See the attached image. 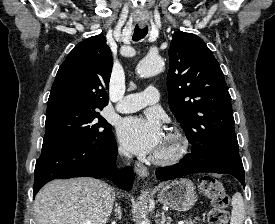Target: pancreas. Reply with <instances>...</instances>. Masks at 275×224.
Returning <instances> with one entry per match:
<instances>
[{
  "label": "pancreas",
  "instance_id": "pancreas-1",
  "mask_svg": "<svg viewBox=\"0 0 275 224\" xmlns=\"http://www.w3.org/2000/svg\"><path fill=\"white\" fill-rule=\"evenodd\" d=\"M200 219L198 217L194 218V219H191V218H188V219H185V224H197V221H199Z\"/></svg>",
  "mask_w": 275,
  "mask_h": 224
}]
</instances>
